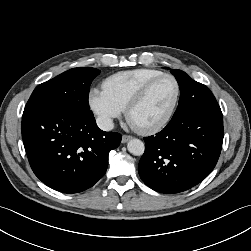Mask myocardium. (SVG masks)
I'll return each mask as SVG.
<instances>
[{"label":"myocardium","instance_id":"1","mask_svg":"<svg viewBox=\"0 0 251 251\" xmlns=\"http://www.w3.org/2000/svg\"><path fill=\"white\" fill-rule=\"evenodd\" d=\"M163 78H170L173 80V82L175 84V96H174V99L172 101V104H171L169 110L167 111V113L164 115L163 118H161L159 121H157L155 123L148 124V125L136 124L132 119V114H133L134 110L144 101V99L146 98L150 89L154 86V84H156L159 80H161ZM180 94H181V87H180V83L177 80V78L170 73H162V74L152 78L147 83H145L142 86V88L137 92V94L131 99V101L129 102V104L126 107V119L134 129H136L137 131H139L141 133L157 132V131L163 129L172 119V117L176 111L178 102H179Z\"/></svg>","mask_w":251,"mask_h":251}]
</instances>
